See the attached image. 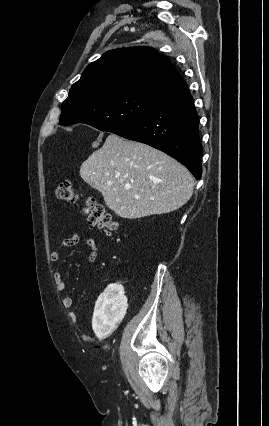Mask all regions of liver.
<instances>
[{"mask_svg":"<svg viewBox=\"0 0 269 426\" xmlns=\"http://www.w3.org/2000/svg\"><path fill=\"white\" fill-rule=\"evenodd\" d=\"M80 176L102 193L110 210L127 219L175 211L194 189L192 175L178 161L116 134L82 163Z\"/></svg>","mask_w":269,"mask_h":426,"instance_id":"obj_1","label":"liver"}]
</instances>
